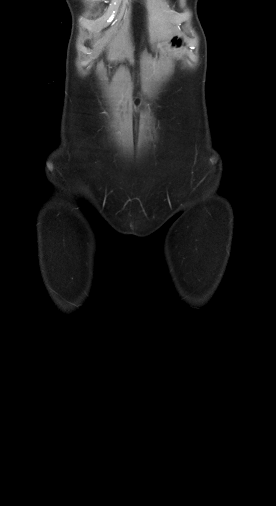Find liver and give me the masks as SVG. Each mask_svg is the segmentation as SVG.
Returning <instances> with one entry per match:
<instances>
[{"label":"liver","mask_w":276,"mask_h":506,"mask_svg":"<svg viewBox=\"0 0 276 506\" xmlns=\"http://www.w3.org/2000/svg\"><path fill=\"white\" fill-rule=\"evenodd\" d=\"M149 21L152 36L157 40H169L176 32L174 25L177 19L171 16L161 0L149 1ZM113 31L108 32L105 37L96 41L95 45H105L110 41Z\"/></svg>","instance_id":"1"}]
</instances>
